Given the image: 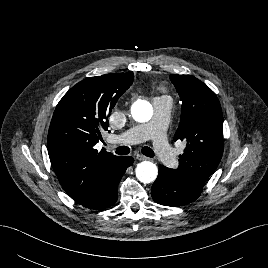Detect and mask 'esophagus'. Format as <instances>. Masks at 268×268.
<instances>
[{"label":"esophagus","mask_w":268,"mask_h":268,"mask_svg":"<svg viewBox=\"0 0 268 268\" xmlns=\"http://www.w3.org/2000/svg\"><path fill=\"white\" fill-rule=\"evenodd\" d=\"M148 159H149V158L146 157V156H144V155H138V156H137V160H139V161L148 160Z\"/></svg>","instance_id":"34e87169"}]
</instances>
